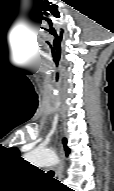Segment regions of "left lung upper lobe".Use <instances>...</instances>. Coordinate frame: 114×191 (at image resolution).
Listing matches in <instances>:
<instances>
[{"label":"left lung upper lobe","mask_w":114,"mask_h":191,"mask_svg":"<svg viewBox=\"0 0 114 191\" xmlns=\"http://www.w3.org/2000/svg\"><path fill=\"white\" fill-rule=\"evenodd\" d=\"M63 144H64V148H65V151H66V155H68L69 152H70V149L66 146V145H67V140H66V139H63ZM11 149H12V151H13L15 154L19 155V151H18L17 148L13 147V148H11Z\"/></svg>","instance_id":"obj_1"}]
</instances>
